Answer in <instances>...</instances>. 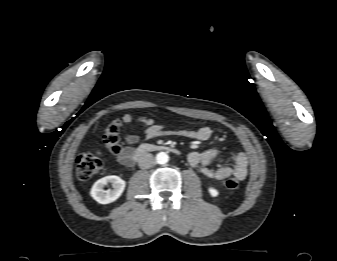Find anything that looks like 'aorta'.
<instances>
[{
  "mask_svg": "<svg viewBox=\"0 0 337 261\" xmlns=\"http://www.w3.org/2000/svg\"><path fill=\"white\" fill-rule=\"evenodd\" d=\"M169 161V156L166 152H159L156 155V162L158 164L164 165Z\"/></svg>",
  "mask_w": 337,
  "mask_h": 261,
  "instance_id": "1",
  "label": "aorta"
}]
</instances>
